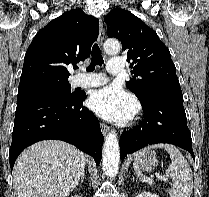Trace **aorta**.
Masks as SVG:
<instances>
[{
    "mask_svg": "<svg viewBox=\"0 0 209 197\" xmlns=\"http://www.w3.org/2000/svg\"><path fill=\"white\" fill-rule=\"evenodd\" d=\"M104 51L107 54L114 55L120 51L118 40L109 39L104 43ZM103 171L107 177L113 178L118 173L120 150L117 134L113 131L105 138L102 151Z\"/></svg>",
    "mask_w": 209,
    "mask_h": 197,
    "instance_id": "aorta-1",
    "label": "aorta"
}]
</instances>
